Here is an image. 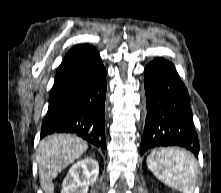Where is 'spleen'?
Segmentation results:
<instances>
[{
	"instance_id": "obj_1",
	"label": "spleen",
	"mask_w": 221,
	"mask_h": 193,
	"mask_svg": "<svg viewBox=\"0 0 221 193\" xmlns=\"http://www.w3.org/2000/svg\"><path fill=\"white\" fill-rule=\"evenodd\" d=\"M147 166L167 186L183 193H193L196 164L189 152L159 146L148 156Z\"/></svg>"
}]
</instances>
